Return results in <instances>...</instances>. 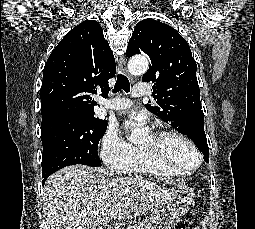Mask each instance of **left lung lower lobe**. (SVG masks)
<instances>
[{"label": "left lung lower lobe", "instance_id": "1", "mask_svg": "<svg viewBox=\"0 0 255 229\" xmlns=\"http://www.w3.org/2000/svg\"><path fill=\"white\" fill-rule=\"evenodd\" d=\"M198 124H199V127L204 128V115H198ZM206 162L208 163L209 160Z\"/></svg>", "mask_w": 255, "mask_h": 229}]
</instances>
